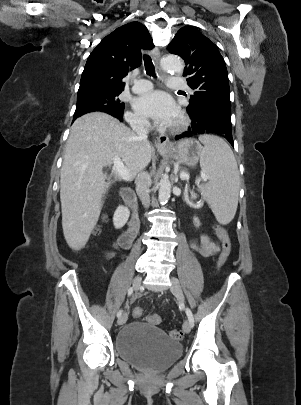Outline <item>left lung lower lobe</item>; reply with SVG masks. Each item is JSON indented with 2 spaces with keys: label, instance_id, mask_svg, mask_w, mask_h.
Segmentation results:
<instances>
[{
  "label": "left lung lower lobe",
  "instance_id": "1",
  "mask_svg": "<svg viewBox=\"0 0 301 405\" xmlns=\"http://www.w3.org/2000/svg\"><path fill=\"white\" fill-rule=\"evenodd\" d=\"M192 120L189 130L176 136V140L202 134H212L224 137L234 147L231 129V115L212 109L188 111Z\"/></svg>",
  "mask_w": 301,
  "mask_h": 405
}]
</instances>
